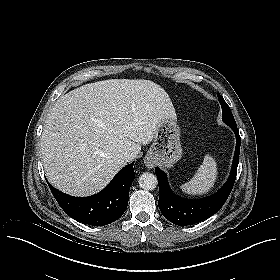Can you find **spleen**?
I'll return each mask as SVG.
<instances>
[{
	"label": "spleen",
	"mask_w": 280,
	"mask_h": 280,
	"mask_svg": "<svg viewBox=\"0 0 280 280\" xmlns=\"http://www.w3.org/2000/svg\"><path fill=\"white\" fill-rule=\"evenodd\" d=\"M218 175L215 159L206 154L202 165L198 168L193 178L180 186L181 190L188 195H203L208 193L214 186Z\"/></svg>",
	"instance_id": "spleen-1"
}]
</instances>
